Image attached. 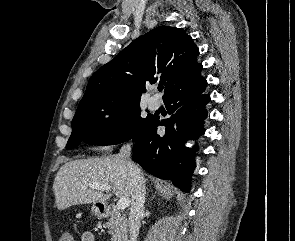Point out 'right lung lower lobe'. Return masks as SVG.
Instances as JSON below:
<instances>
[{
  "mask_svg": "<svg viewBox=\"0 0 295 241\" xmlns=\"http://www.w3.org/2000/svg\"><path fill=\"white\" fill-rule=\"evenodd\" d=\"M206 80L187 89L171 94L164 102L171 117L160 120L154 116L150 123L132 139L135 141L133 160L147 172L173 184L184 192L191 189V176L195 168L197 146L189 149L184 143L204 134L207 118L205 94ZM158 126H165V133H157Z\"/></svg>",
  "mask_w": 295,
  "mask_h": 241,
  "instance_id": "1",
  "label": "right lung lower lobe"
}]
</instances>
